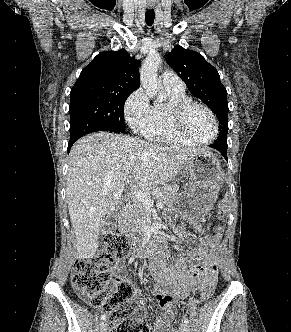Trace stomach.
Returning a JSON list of instances; mask_svg holds the SVG:
<instances>
[{
    "label": "stomach",
    "instance_id": "1",
    "mask_svg": "<svg viewBox=\"0 0 291 332\" xmlns=\"http://www.w3.org/2000/svg\"><path fill=\"white\" fill-rule=\"evenodd\" d=\"M184 173L189 176L191 187L176 201H184L190 210L196 214L209 209L215 202L224 173L219 160L209 150L199 152L190 158Z\"/></svg>",
    "mask_w": 291,
    "mask_h": 332
}]
</instances>
